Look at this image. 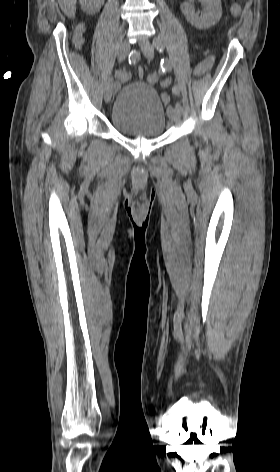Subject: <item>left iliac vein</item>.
<instances>
[{"label": "left iliac vein", "mask_w": 280, "mask_h": 472, "mask_svg": "<svg viewBox=\"0 0 280 472\" xmlns=\"http://www.w3.org/2000/svg\"><path fill=\"white\" fill-rule=\"evenodd\" d=\"M140 48L144 56L148 59H152L154 57V46L148 40H143L140 43ZM168 115L172 122L178 123L181 119V112L175 107L170 106L168 108Z\"/></svg>", "instance_id": "1"}]
</instances>
